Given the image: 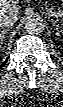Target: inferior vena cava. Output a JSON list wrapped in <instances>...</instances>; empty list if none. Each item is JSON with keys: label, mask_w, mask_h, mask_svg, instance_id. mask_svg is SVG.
Listing matches in <instances>:
<instances>
[{"label": "inferior vena cava", "mask_w": 63, "mask_h": 107, "mask_svg": "<svg viewBox=\"0 0 63 107\" xmlns=\"http://www.w3.org/2000/svg\"><path fill=\"white\" fill-rule=\"evenodd\" d=\"M18 20L16 13L7 10H1L0 12V27H12Z\"/></svg>", "instance_id": "602c4592"}]
</instances>
